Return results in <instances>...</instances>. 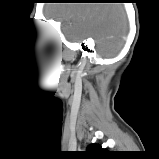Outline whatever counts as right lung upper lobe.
Instances as JSON below:
<instances>
[{"mask_svg": "<svg viewBox=\"0 0 159 159\" xmlns=\"http://www.w3.org/2000/svg\"><path fill=\"white\" fill-rule=\"evenodd\" d=\"M103 151L104 149L96 144H91L87 147V153L93 156L91 159H96L95 157L103 153Z\"/></svg>", "mask_w": 159, "mask_h": 159, "instance_id": "obj_1", "label": "right lung upper lobe"}]
</instances>
